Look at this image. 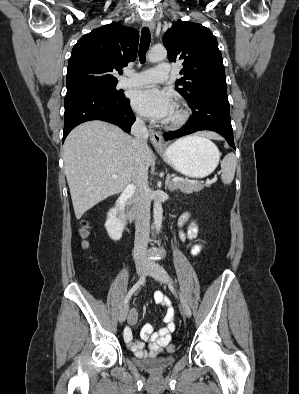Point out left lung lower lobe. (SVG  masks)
Returning a JSON list of instances; mask_svg holds the SVG:
<instances>
[{
	"label": "left lung lower lobe",
	"mask_w": 299,
	"mask_h": 394,
	"mask_svg": "<svg viewBox=\"0 0 299 394\" xmlns=\"http://www.w3.org/2000/svg\"><path fill=\"white\" fill-rule=\"evenodd\" d=\"M192 116L185 126L164 133L165 140H172L201 130H211L222 135L235 149L229 111L227 89H208L188 103Z\"/></svg>",
	"instance_id": "left-lung-lower-lobe-1"
}]
</instances>
